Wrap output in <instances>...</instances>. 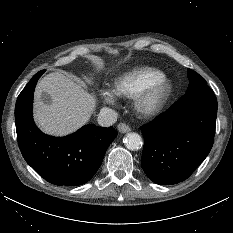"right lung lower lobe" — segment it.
I'll return each mask as SVG.
<instances>
[{
	"instance_id": "1",
	"label": "right lung lower lobe",
	"mask_w": 233,
	"mask_h": 233,
	"mask_svg": "<svg viewBox=\"0 0 233 233\" xmlns=\"http://www.w3.org/2000/svg\"><path fill=\"white\" fill-rule=\"evenodd\" d=\"M45 70L35 74L19 94L15 106L17 141L26 162L55 185L77 186L89 181L117 136L113 127L83 126L66 137L42 133L32 117L33 91Z\"/></svg>"
}]
</instances>
